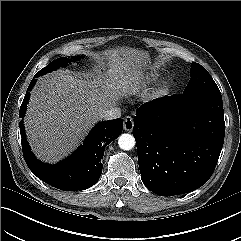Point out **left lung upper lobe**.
Here are the masks:
<instances>
[{
  "label": "left lung upper lobe",
  "mask_w": 241,
  "mask_h": 241,
  "mask_svg": "<svg viewBox=\"0 0 241 241\" xmlns=\"http://www.w3.org/2000/svg\"><path fill=\"white\" fill-rule=\"evenodd\" d=\"M195 92L221 94L210 74L198 63H192L191 79L184 90V93Z\"/></svg>",
  "instance_id": "5c2ea615"
}]
</instances>
